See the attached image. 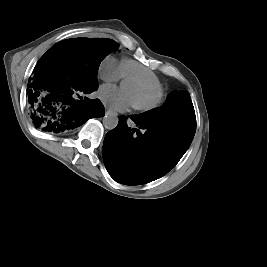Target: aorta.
Here are the masks:
<instances>
[{"mask_svg":"<svg viewBox=\"0 0 267 267\" xmlns=\"http://www.w3.org/2000/svg\"><path fill=\"white\" fill-rule=\"evenodd\" d=\"M103 125L106 129L112 130L118 125V117L115 113H107L103 117Z\"/></svg>","mask_w":267,"mask_h":267,"instance_id":"1","label":"aorta"}]
</instances>
